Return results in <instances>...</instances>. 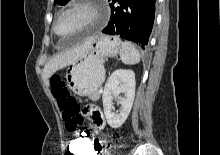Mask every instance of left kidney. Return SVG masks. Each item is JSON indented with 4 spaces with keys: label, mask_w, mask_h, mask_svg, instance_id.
I'll return each mask as SVG.
<instances>
[{
    "label": "left kidney",
    "mask_w": 220,
    "mask_h": 155,
    "mask_svg": "<svg viewBox=\"0 0 220 155\" xmlns=\"http://www.w3.org/2000/svg\"><path fill=\"white\" fill-rule=\"evenodd\" d=\"M135 73L132 70L117 69L108 78L102 95L104 114L112 128H119L128 118L135 97ZM125 93L124 98L119 97ZM113 97L121 105L117 114L112 112Z\"/></svg>",
    "instance_id": "1"
}]
</instances>
